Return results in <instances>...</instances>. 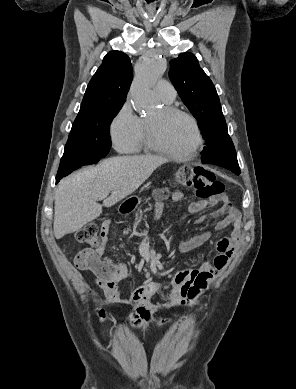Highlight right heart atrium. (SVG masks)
<instances>
[{"mask_svg": "<svg viewBox=\"0 0 296 389\" xmlns=\"http://www.w3.org/2000/svg\"><path fill=\"white\" fill-rule=\"evenodd\" d=\"M144 131L142 119L127 102L113 117L109 132L115 149L121 153H133L138 150Z\"/></svg>", "mask_w": 296, "mask_h": 389, "instance_id": "right-heart-atrium-1", "label": "right heart atrium"}]
</instances>
